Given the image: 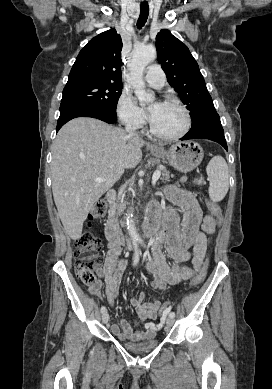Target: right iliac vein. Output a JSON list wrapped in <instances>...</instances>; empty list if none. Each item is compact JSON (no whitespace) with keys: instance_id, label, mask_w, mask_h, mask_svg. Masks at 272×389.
Masks as SVG:
<instances>
[{"instance_id":"obj_1","label":"right iliac vein","mask_w":272,"mask_h":389,"mask_svg":"<svg viewBox=\"0 0 272 389\" xmlns=\"http://www.w3.org/2000/svg\"><path fill=\"white\" fill-rule=\"evenodd\" d=\"M108 320H109V314L107 312H104L102 314V321H103V323H107Z\"/></svg>"}]
</instances>
